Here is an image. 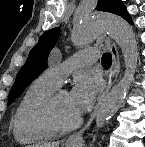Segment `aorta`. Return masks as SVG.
I'll list each match as a JSON object with an SVG mask.
<instances>
[{
	"instance_id": "762f6f07",
	"label": "aorta",
	"mask_w": 145,
	"mask_h": 147,
	"mask_svg": "<svg viewBox=\"0 0 145 147\" xmlns=\"http://www.w3.org/2000/svg\"><path fill=\"white\" fill-rule=\"evenodd\" d=\"M107 32L121 48L125 72L123 78L111 89L100 103L95 116L93 141L106 122L118 111L134 80L138 62V46L132 27L121 17L101 14L79 23L73 30V40L77 45L91 42L98 33Z\"/></svg>"
}]
</instances>
